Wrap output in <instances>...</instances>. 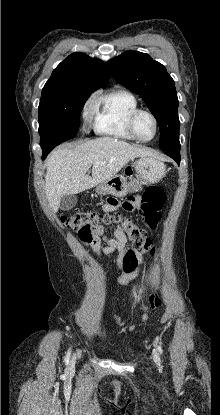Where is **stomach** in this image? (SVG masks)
I'll return each instance as SVG.
<instances>
[{"label": "stomach", "instance_id": "0dacf381", "mask_svg": "<svg viewBox=\"0 0 220 415\" xmlns=\"http://www.w3.org/2000/svg\"><path fill=\"white\" fill-rule=\"evenodd\" d=\"M136 178L127 181L123 175H115L109 180L100 183L96 187V192L100 195H113L123 197L128 192H137L142 189L144 184L158 182L166 172L163 162L152 156L140 157L135 162Z\"/></svg>", "mask_w": 220, "mask_h": 415}]
</instances>
